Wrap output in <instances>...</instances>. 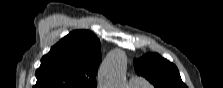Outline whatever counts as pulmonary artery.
I'll use <instances>...</instances> for the list:
<instances>
[{
  "mask_svg": "<svg viewBox=\"0 0 223 88\" xmlns=\"http://www.w3.org/2000/svg\"><path fill=\"white\" fill-rule=\"evenodd\" d=\"M129 84L133 88H139V87H145V86H147V82L143 78L137 77V76L132 77L129 80Z\"/></svg>",
  "mask_w": 223,
  "mask_h": 88,
  "instance_id": "obj_1",
  "label": "pulmonary artery"
}]
</instances>
